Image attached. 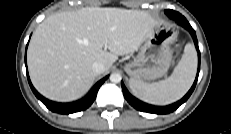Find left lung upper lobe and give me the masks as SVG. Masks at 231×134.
<instances>
[{
  "label": "left lung upper lobe",
  "mask_w": 231,
  "mask_h": 134,
  "mask_svg": "<svg viewBox=\"0 0 231 134\" xmlns=\"http://www.w3.org/2000/svg\"><path fill=\"white\" fill-rule=\"evenodd\" d=\"M165 13H166L169 17H171L172 14H175V11H173V10H165Z\"/></svg>",
  "instance_id": "1"
}]
</instances>
